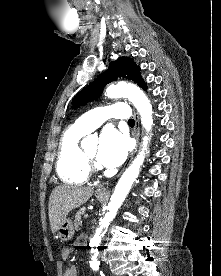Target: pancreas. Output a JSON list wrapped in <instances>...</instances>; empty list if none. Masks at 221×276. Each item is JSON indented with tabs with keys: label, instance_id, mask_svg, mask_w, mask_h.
I'll list each match as a JSON object with an SVG mask.
<instances>
[{
	"label": "pancreas",
	"instance_id": "1",
	"mask_svg": "<svg viewBox=\"0 0 221 276\" xmlns=\"http://www.w3.org/2000/svg\"><path fill=\"white\" fill-rule=\"evenodd\" d=\"M85 211H86V208H82L75 215L74 225L76 230H78L79 226L82 224L81 216L85 213Z\"/></svg>",
	"mask_w": 221,
	"mask_h": 276
}]
</instances>
